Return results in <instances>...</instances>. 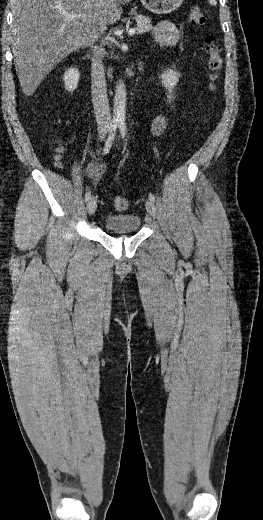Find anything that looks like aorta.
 <instances>
[{
    "label": "aorta",
    "mask_w": 263,
    "mask_h": 520,
    "mask_svg": "<svg viewBox=\"0 0 263 520\" xmlns=\"http://www.w3.org/2000/svg\"><path fill=\"white\" fill-rule=\"evenodd\" d=\"M125 107H126V87L124 82L120 81L115 90L114 96V120L124 121L125 120Z\"/></svg>",
    "instance_id": "aorta-1"
}]
</instances>
